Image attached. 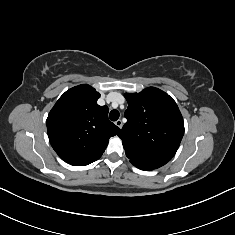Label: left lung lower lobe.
I'll return each instance as SVG.
<instances>
[{
  "label": "left lung lower lobe",
  "mask_w": 235,
  "mask_h": 235,
  "mask_svg": "<svg viewBox=\"0 0 235 235\" xmlns=\"http://www.w3.org/2000/svg\"><path fill=\"white\" fill-rule=\"evenodd\" d=\"M138 168V167H137ZM139 169H142V170H150V169H144V168H139Z\"/></svg>",
  "instance_id": "obj_1"
}]
</instances>
